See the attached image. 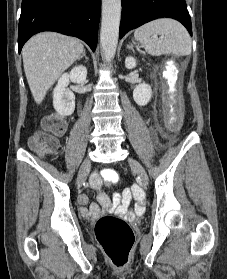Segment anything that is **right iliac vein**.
<instances>
[{
    "label": "right iliac vein",
    "mask_w": 227,
    "mask_h": 279,
    "mask_svg": "<svg viewBox=\"0 0 227 279\" xmlns=\"http://www.w3.org/2000/svg\"><path fill=\"white\" fill-rule=\"evenodd\" d=\"M90 165H91L90 159L89 158L85 159L81 168H80V171H79V174H78V177H77V185L79 187L83 184V182H84V180H85V178H86V176L89 172Z\"/></svg>",
    "instance_id": "obj_1"
}]
</instances>
